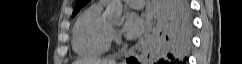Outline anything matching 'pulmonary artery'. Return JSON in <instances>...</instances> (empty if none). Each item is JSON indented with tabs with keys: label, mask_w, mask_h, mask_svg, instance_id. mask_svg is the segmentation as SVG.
<instances>
[{
	"label": "pulmonary artery",
	"mask_w": 242,
	"mask_h": 64,
	"mask_svg": "<svg viewBox=\"0 0 242 64\" xmlns=\"http://www.w3.org/2000/svg\"><path fill=\"white\" fill-rule=\"evenodd\" d=\"M129 6L140 9L144 6V0H124ZM109 3V0H101L99 4L106 5Z\"/></svg>",
	"instance_id": "obj_1"
}]
</instances>
